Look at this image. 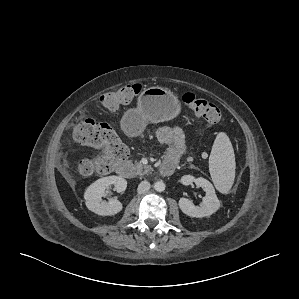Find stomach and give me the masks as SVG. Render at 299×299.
<instances>
[{"label":"stomach","mask_w":299,"mask_h":299,"mask_svg":"<svg viewBox=\"0 0 299 299\" xmlns=\"http://www.w3.org/2000/svg\"><path fill=\"white\" fill-rule=\"evenodd\" d=\"M181 112L178 97L166 88L149 87L138 97L137 108L123 117V127L129 135H139L146 125L174 119Z\"/></svg>","instance_id":"obj_1"}]
</instances>
